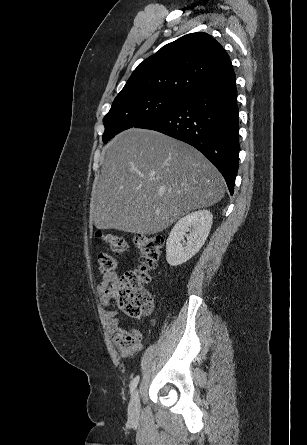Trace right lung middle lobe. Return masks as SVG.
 Returning <instances> with one entry per match:
<instances>
[{
  "mask_svg": "<svg viewBox=\"0 0 307 445\" xmlns=\"http://www.w3.org/2000/svg\"><path fill=\"white\" fill-rule=\"evenodd\" d=\"M184 98L183 96L162 94L118 95L103 119L105 126L103 142L107 143L119 132L170 111Z\"/></svg>",
  "mask_w": 307,
  "mask_h": 445,
  "instance_id": "1",
  "label": "right lung middle lobe"
}]
</instances>
